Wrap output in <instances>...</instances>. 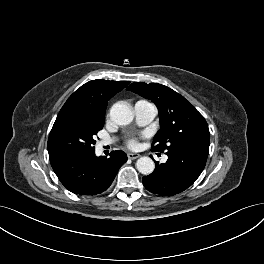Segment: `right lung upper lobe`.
Here are the masks:
<instances>
[{
  "label": "right lung upper lobe",
  "mask_w": 264,
  "mask_h": 264,
  "mask_svg": "<svg viewBox=\"0 0 264 264\" xmlns=\"http://www.w3.org/2000/svg\"><path fill=\"white\" fill-rule=\"evenodd\" d=\"M129 81L92 80L77 89L66 101L57 118L66 114L105 121L108 100L125 88Z\"/></svg>",
  "instance_id": "1"
}]
</instances>
